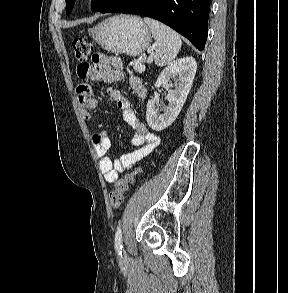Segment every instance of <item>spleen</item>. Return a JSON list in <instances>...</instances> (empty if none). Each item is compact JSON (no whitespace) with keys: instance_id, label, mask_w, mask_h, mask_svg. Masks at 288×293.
I'll use <instances>...</instances> for the list:
<instances>
[{"instance_id":"obj_1","label":"spleen","mask_w":288,"mask_h":293,"mask_svg":"<svg viewBox=\"0 0 288 293\" xmlns=\"http://www.w3.org/2000/svg\"><path fill=\"white\" fill-rule=\"evenodd\" d=\"M144 21L150 27L157 43L155 64L157 66L171 64L181 49L182 41L180 36L170 27L154 19L145 17Z\"/></svg>"}]
</instances>
